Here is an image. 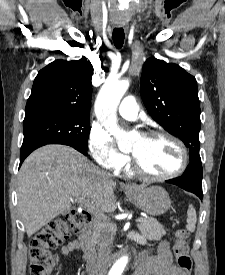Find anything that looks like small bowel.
<instances>
[{
    "instance_id": "obj_1",
    "label": "small bowel",
    "mask_w": 225,
    "mask_h": 275,
    "mask_svg": "<svg viewBox=\"0 0 225 275\" xmlns=\"http://www.w3.org/2000/svg\"><path fill=\"white\" fill-rule=\"evenodd\" d=\"M75 251H79L78 240L68 242L61 249L62 254L65 256ZM134 275H184V273L173 264L168 243L162 241L158 246L156 255L150 256L147 252L141 254Z\"/></svg>"
}]
</instances>
